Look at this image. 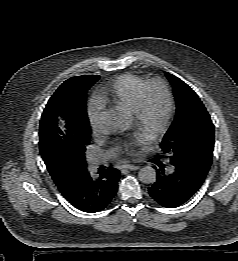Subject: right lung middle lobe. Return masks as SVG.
Masks as SVG:
<instances>
[{"label":"right lung middle lobe","mask_w":238,"mask_h":261,"mask_svg":"<svg viewBox=\"0 0 238 261\" xmlns=\"http://www.w3.org/2000/svg\"><path fill=\"white\" fill-rule=\"evenodd\" d=\"M99 76L83 75L66 80L49 99L39 127V149L50 175L72 179L87 171L85 151L90 144L86 94ZM67 119L86 129L79 139L69 141L59 126Z\"/></svg>","instance_id":"right-lung-middle-lobe-1"}]
</instances>
